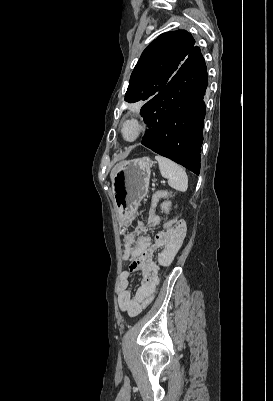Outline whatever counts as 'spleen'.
Masks as SVG:
<instances>
[{
  "label": "spleen",
  "instance_id": "obj_1",
  "mask_svg": "<svg viewBox=\"0 0 273 401\" xmlns=\"http://www.w3.org/2000/svg\"><path fill=\"white\" fill-rule=\"evenodd\" d=\"M156 160H158L160 172L164 178H168V184L172 186V188H176V190H182L185 192L188 188V176L179 164L173 162V160H169V158H165V156H155Z\"/></svg>",
  "mask_w": 273,
  "mask_h": 401
}]
</instances>
